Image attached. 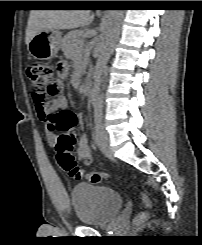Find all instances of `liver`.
<instances>
[{
    "instance_id": "6515ba94",
    "label": "liver",
    "mask_w": 202,
    "mask_h": 245,
    "mask_svg": "<svg viewBox=\"0 0 202 245\" xmlns=\"http://www.w3.org/2000/svg\"><path fill=\"white\" fill-rule=\"evenodd\" d=\"M94 14L90 10H31L25 42L44 30H66L88 26L93 22Z\"/></svg>"
}]
</instances>
